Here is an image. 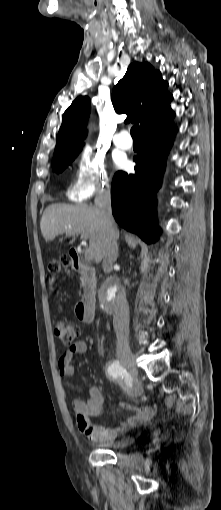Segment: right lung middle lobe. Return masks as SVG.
Returning a JSON list of instances; mask_svg holds the SVG:
<instances>
[{
    "instance_id": "1",
    "label": "right lung middle lobe",
    "mask_w": 221,
    "mask_h": 510,
    "mask_svg": "<svg viewBox=\"0 0 221 510\" xmlns=\"http://www.w3.org/2000/svg\"><path fill=\"white\" fill-rule=\"evenodd\" d=\"M82 147L74 148L70 151H67L52 160V168L53 171L61 172L63 171L79 154Z\"/></svg>"
}]
</instances>
